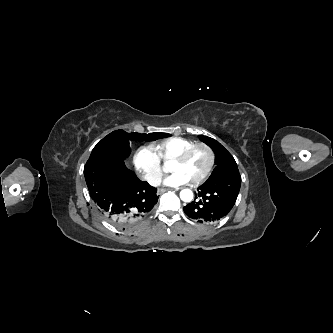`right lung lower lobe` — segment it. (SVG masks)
<instances>
[{
  "label": "right lung lower lobe",
  "mask_w": 333,
  "mask_h": 333,
  "mask_svg": "<svg viewBox=\"0 0 333 333\" xmlns=\"http://www.w3.org/2000/svg\"><path fill=\"white\" fill-rule=\"evenodd\" d=\"M84 176L99 211L119 228L134 224L157 203V189L139 180L124 160L91 158L85 164Z\"/></svg>",
  "instance_id": "right-lung-lower-lobe-1"
}]
</instances>
